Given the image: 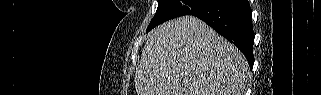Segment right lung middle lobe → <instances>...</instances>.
I'll return each mask as SVG.
<instances>
[{"label": "right lung middle lobe", "instance_id": "dd1d6c3e", "mask_svg": "<svg viewBox=\"0 0 321 95\" xmlns=\"http://www.w3.org/2000/svg\"><path fill=\"white\" fill-rule=\"evenodd\" d=\"M210 0H158L156 14L151 20L147 32L159 24L183 15H190Z\"/></svg>", "mask_w": 321, "mask_h": 95}]
</instances>
